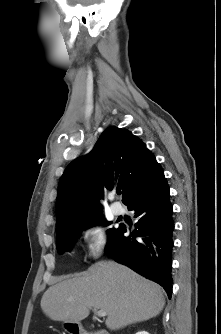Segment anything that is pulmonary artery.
Listing matches in <instances>:
<instances>
[{"mask_svg":"<svg viewBox=\"0 0 221 334\" xmlns=\"http://www.w3.org/2000/svg\"><path fill=\"white\" fill-rule=\"evenodd\" d=\"M111 209H112L113 214L116 216L122 215L124 213L123 207L117 202L112 203Z\"/></svg>","mask_w":221,"mask_h":334,"instance_id":"obj_1","label":"pulmonary artery"}]
</instances>
